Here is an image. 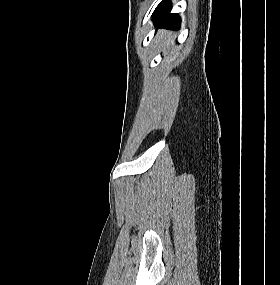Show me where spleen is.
Wrapping results in <instances>:
<instances>
[{
  "label": "spleen",
  "mask_w": 280,
  "mask_h": 285,
  "mask_svg": "<svg viewBox=\"0 0 280 285\" xmlns=\"http://www.w3.org/2000/svg\"><path fill=\"white\" fill-rule=\"evenodd\" d=\"M171 44H172V40L167 42L166 47L168 50H170Z\"/></svg>",
  "instance_id": "spleen-1"
}]
</instances>
